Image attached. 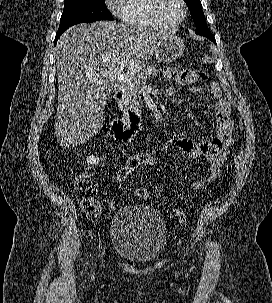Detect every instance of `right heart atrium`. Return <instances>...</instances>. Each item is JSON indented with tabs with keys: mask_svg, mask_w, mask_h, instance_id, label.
I'll return each instance as SVG.
<instances>
[{
	"mask_svg": "<svg viewBox=\"0 0 272 303\" xmlns=\"http://www.w3.org/2000/svg\"><path fill=\"white\" fill-rule=\"evenodd\" d=\"M108 8L116 14H119L121 0H106Z\"/></svg>",
	"mask_w": 272,
	"mask_h": 303,
	"instance_id": "right-heart-atrium-1",
	"label": "right heart atrium"
}]
</instances>
